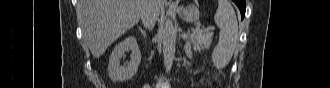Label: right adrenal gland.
I'll return each instance as SVG.
<instances>
[{
    "label": "right adrenal gland",
    "mask_w": 330,
    "mask_h": 88,
    "mask_svg": "<svg viewBox=\"0 0 330 88\" xmlns=\"http://www.w3.org/2000/svg\"><path fill=\"white\" fill-rule=\"evenodd\" d=\"M138 29H139L141 35H142L144 38L147 37V33H146V31H145L144 29H142L140 26H138Z\"/></svg>",
    "instance_id": "right-adrenal-gland-1"
}]
</instances>
